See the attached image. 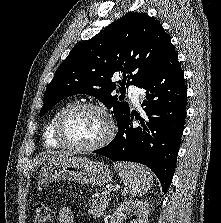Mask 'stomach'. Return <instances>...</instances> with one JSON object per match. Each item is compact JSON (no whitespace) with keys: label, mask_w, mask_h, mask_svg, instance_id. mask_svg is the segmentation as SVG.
Instances as JSON below:
<instances>
[{"label":"stomach","mask_w":221,"mask_h":223,"mask_svg":"<svg viewBox=\"0 0 221 223\" xmlns=\"http://www.w3.org/2000/svg\"><path fill=\"white\" fill-rule=\"evenodd\" d=\"M111 179L112 171L107 164L95 162L82 156H68L47 162L39 173V182L42 185L68 180L101 186L107 184Z\"/></svg>","instance_id":"obj_1"}]
</instances>
